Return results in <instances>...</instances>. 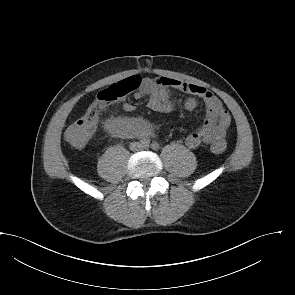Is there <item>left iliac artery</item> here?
<instances>
[{
  "instance_id": "obj_1",
  "label": "left iliac artery",
  "mask_w": 295,
  "mask_h": 295,
  "mask_svg": "<svg viewBox=\"0 0 295 295\" xmlns=\"http://www.w3.org/2000/svg\"><path fill=\"white\" fill-rule=\"evenodd\" d=\"M151 148H152L153 150L157 151V150H159L160 145H159L158 142H152V144H151Z\"/></svg>"
}]
</instances>
